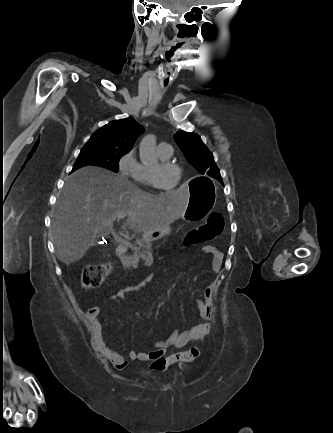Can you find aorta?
<instances>
[{
	"label": "aorta",
	"instance_id": "aorta-1",
	"mask_svg": "<svg viewBox=\"0 0 333 433\" xmlns=\"http://www.w3.org/2000/svg\"><path fill=\"white\" fill-rule=\"evenodd\" d=\"M156 150V137L154 135L145 136L140 142L139 152L140 160L143 164L154 165L158 160L155 154Z\"/></svg>",
	"mask_w": 333,
	"mask_h": 433
}]
</instances>
